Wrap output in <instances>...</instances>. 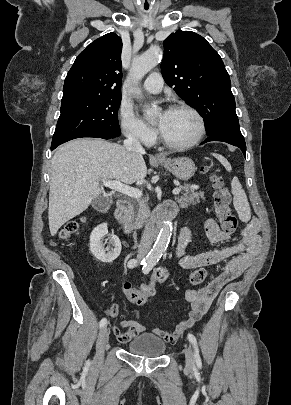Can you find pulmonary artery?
Returning a JSON list of instances; mask_svg holds the SVG:
<instances>
[{
  "label": "pulmonary artery",
  "instance_id": "pulmonary-artery-1",
  "mask_svg": "<svg viewBox=\"0 0 291 405\" xmlns=\"http://www.w3.org/2000/svg\"><path fill=\"white\" fill-rule=\"evenodd\" d=\"M146 91L159 93L163 88V78L158 72H152L143 83Z\"/></svg>",
  "mask_w": 291,
  "mask_h": 405
}]
</instances>
